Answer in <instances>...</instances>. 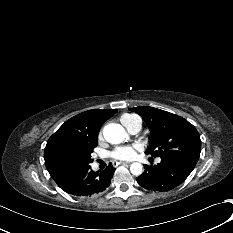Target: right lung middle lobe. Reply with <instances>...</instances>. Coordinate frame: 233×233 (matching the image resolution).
I'll return each instance as SVG.
<instances>
[{"mask_svg":"<svg viewBox=\"0 0 233 233\" xmlns=\"http://www.w3.org/2000/svg\"><path fill=\"white\" fill-rule=\"evenodd\" d=\"M97 144H92L84 149H76L66 152L61 158L63 169L69 173H75L90 166L93 162L91 153Z\"/></svg>","mask_w":233,"mask_h":233,"instance_id":"obj_1","label":"right lung middle lobe"}]
</instances>
